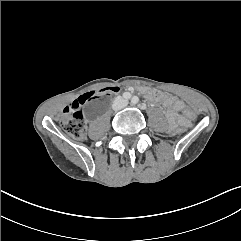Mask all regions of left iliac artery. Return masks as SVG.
Here are the masks:
<instances>
[{"label":"left iliac artery","instance_id":"1","mask_svg":"<svg viewBox=\"0 0 241 241\" xmlns=\"http://www.w3.org/2000/svg\"><path fill=\"white\" fill-rule=\"evenodd\" d=\"M139 102V98L137 96H133L131 99L132 104H137Z\"/></svg>","mask_w":241,"mask_h":241}]
</instances>
